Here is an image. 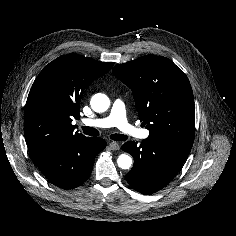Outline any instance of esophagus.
I'll list each match as a JSON object with an SVG mask.
<instances>
[{"instance_id":"obj_1","label":"esophagus","mask_w":236,"mask_h":236,"mask_svg":"<svg viewBox=\"0 0 236 236\" xmlns=\"http://www.w3.org/2000/svg\"><path fill=\"white\" fill-rule=\"evenodd\" d=\"M109 147L111 150H118L120 148V145L117 142H110Z\"/></svg>"}]
</instances>
